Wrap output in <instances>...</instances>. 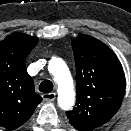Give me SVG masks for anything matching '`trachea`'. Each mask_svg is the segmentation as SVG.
Returning <instances> with one entry per match:
<instances>
[{
  "instance_id": "3493384b",
  "label": "trachea",
  "mask_w": 131,
  "mask_h": 131,
  "mask_svg": "<svg viewBox=\"0 0 131 131\" xmlns=\"http://www.w3.org/2000/svg\"><path fill=\"white\" fill-rule=\"evenodd\" d=\"M52 89L53 83L50 80L43 81L39 86V90L43 93H50Z\"/></svg>"
}]
</instances>
